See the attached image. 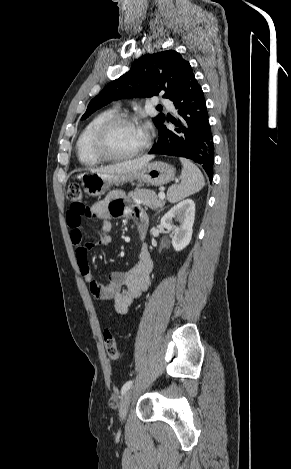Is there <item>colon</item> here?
<instances>
[{
	"label": "colon",
	"mask_w": 291,
	"mask_h": 469,
	"mask_svg": "<svg viewBox=\"0 0 291 469\" xmlns=\"http://www.w3.org/2000/svg\"><path fill=\"white\" fill-rule=\"evenodd\" d=\"M82 197V189L78 184H72L69 186L67 191V198L72 203V207L75 208L79 213L87 215L89 213V208L82 204ZM104 344L106 352L111 359H118L120 357V351L116 340L109 330L104 331Z\"/></svg>",
	"instance_id": "obj_1"
}]
</instances>
